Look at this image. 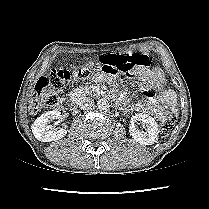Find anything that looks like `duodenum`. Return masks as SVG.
Segmentation results:
<instances>
[{"instance_id":"obj_1","label":"duodenum","mask_w":209,"mask_h":209,"mask_svg":"<svg viewBox=\"0 0 209 209\" xmlns=\"http://www.w3.org/2000/svg\"><path fill=\"white\" fill-rule=\"evenodd\" d=\"M77 101L75 94H70L62 99V105L68 108H74Z\"/></svg>"}]
</instances>
